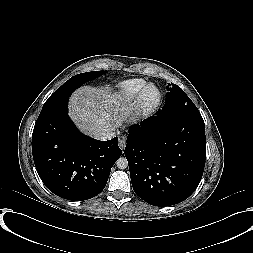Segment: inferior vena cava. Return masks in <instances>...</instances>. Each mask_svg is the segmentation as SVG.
<instances>
[{
  "label": "inferior vena cava",
  "instance_id": "1",
  "mask_svg": "<svg viewBox=\"0 0 253 253\" xmlns=\"http://www.w3.org/2000/svg\"><path fill=\"white\" fill-rule=\"evenodd\" d=\"M115 136V133L113 131H103L98 133L95 138L98 140L106 141L112 139V137Z\"/></svg>",
  "mask_w": 253,
  "mask_h": 253
}]
</instances>
